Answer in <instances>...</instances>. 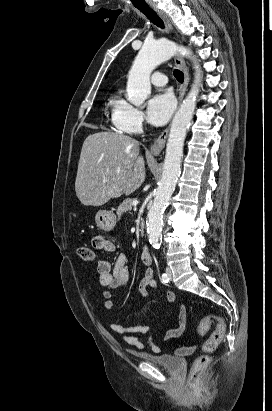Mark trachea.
Returning a JSON list of instances; mask_svg holds the SVG:
<instances>
[{"instance_id":"trachea-1","label":"trachea","mask_w":272,"mask_h":411,"mask_svg":"<svg viewBox=\"0 0 272 411\" xmlns=\"http://www.w3.org/2000/svg\"><path fill=\"white\" fill-rule=\"evenodd\" d=\"M143 14L147 16V18L157 27L164 28V23L162 19L153 11L149 6H136ZM175 78L182 83L184 81L183 72L176 69L174 70Z\"/></svg>"}]
</instances>
